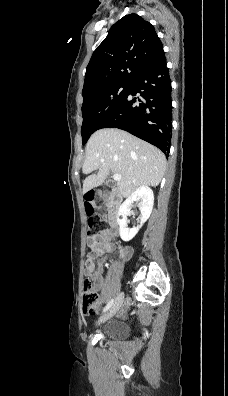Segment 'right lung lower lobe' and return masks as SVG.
Returning <instances> with one entry per match:
<instances>
[{
  "mask_svg": "<svg viewBox=\"0 0 228 396\" xmlns=\"http://www.w3.org/2000/svg\"><path fill=\"white\" fill-rule=\"evenodd\" d=\"M171 80L163 46L131 82L120 105L102 122L101 128L125 130L169 155L172 133ZM136 93L140 96L134 97Z\"/></svg>",
  "mask_w": 228,
  "mask_h": 396,
  "instance_id": "1",
  "label": "right lung lower lobe"
}]
</instances>
